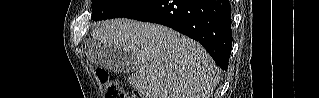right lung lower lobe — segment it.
<instances>
[{"label": "right lung lower lobe", "instance_id": "right-lung-lower-lobe-1", "mask_svg": "<svg viewBox=\"0 0 319 98\" xmlns=\"http://www.w3.org/2000/svg\"><path fill=\"white\" fill-rule=\"evenodd\" d=\"M159 23L200 42L223 70L232 49L229 0H146L119 16Z\"/></svg>", "mask_w": 319, "mask_h": 98}]
</instances>
